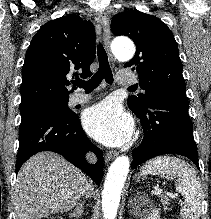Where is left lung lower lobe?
I'll use <instances>...</instances> for the list:
<instances>
[{"instance_id":"obj_1","label":"left lung lower lobe","mask_w":211,"mask_h":219,"mask_svg":"<svg viewBox=\"0 0 211 219\" xmlns=\"http://www.w3.org/2000/svg\"><path fill=\"white\" fill-rule=\"evenodd\" d=\"M188 107V100L183 93H159L149 98L145 110L135 113L140 118L145 136L133 151V169L163 154L183 155L199 168Z\"/></svg>"}]
</instances>
